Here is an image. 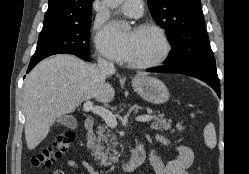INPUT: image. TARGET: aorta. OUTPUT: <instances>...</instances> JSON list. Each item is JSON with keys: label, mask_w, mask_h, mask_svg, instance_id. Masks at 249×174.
Segmentation results:
<instances>
[{"label": "aorta", "mask_w": 249, "mask_h": 174, "mask_svg": "<svg viewBox=\"0 0 249 174\" xmlns=\"http://www.w3.org/2000/svg\"><path fill=\"white\" fill-rule=\"evenodd\" d=\"M124 0H106L107 6L117 8Z\"/></svg>", "instance_id": "1"}]
</instances>
